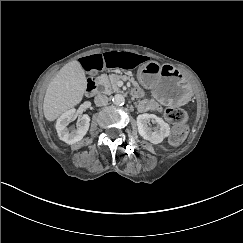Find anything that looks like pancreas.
I'll return each mask as SVG.
<instances>
[{"mask_svg":"<svg viewBox=\"0 0 243 243\" xmlns=\"http://www.w3.org/2000/svg\"><path fill=\"white\" fill-rule=\"evenodd\" d=\"M127 80L128 83H131L136 87L139 88L140 84L137 82L134 76L129 75H117V74H102L101 76L97 77V82L102 84L106 87V89L112 90L113 92H117L119 90L117 86V82L119 80Z\"/></svg>","mask_w":243,"mask_h":243,"instance_id":"1","label":"pancreas"}]
</instances>
